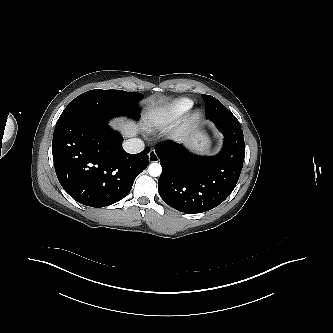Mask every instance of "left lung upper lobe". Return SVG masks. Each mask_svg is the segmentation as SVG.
Returning <instances> with one entry per match:
<instances>
[{"label":"left lung upper lobe","instance_id":"5c2ea615","mask_svg":"<svg viewBox=\"0 0 333 333\" xmlns=\"http://www.w3.org/2000/svg\"><path fill=\"white\" fill-rule=\"evenodd\" d=\"M206 104V117L211 121H223L239 123L237 118L216 98L210 95H202Z\"/></svg>","mask_w":333,"mask_h":333}]
</instances>
